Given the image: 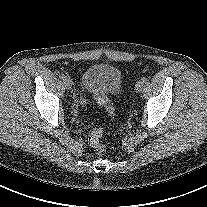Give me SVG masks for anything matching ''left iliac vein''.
Instances as JSON below:
<instances>
[{
  "label": "left iliac vein",
  "mask_w": 207,
  "mask_h": 207,
  "mask_svg": "<svg viewBox=\"0 0 207 207\" xmlns=\"http://www.w3.org/2000/svg\"><path fill=\"white\" fill-rule=\"evenodd\" d=\"M143 85L144 83L140 80V81H137L136 84H135V90L136 92H141L142 89H143Z\"/></svg>",
  "instance_id": "4c4485c4"
}]
</instances>
